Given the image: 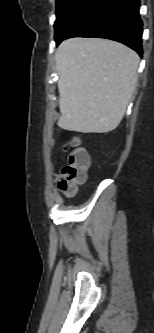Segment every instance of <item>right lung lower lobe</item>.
Instances as JSON below:
<instances>
[{"mask_svg": "<svg viewBox=\"0 0 154 333\" xmlns=\"http://www.w3.org/2000/svg\"><path fill=\"white\" fill-rule=\"evenodd\" d=\"M139 4V0H100L91 13L62 40L70 37L107 38L129 46L142 56L143 24Z\"/></svg>", "mask_w": 154, "mask_h": 333, "instance_id": "obj_1", "label": "right lung lower lobe"}]
</instances>
